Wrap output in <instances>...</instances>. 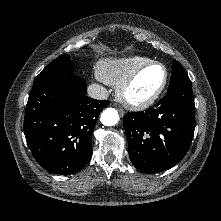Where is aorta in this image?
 <instances>
[{
  "label": "aorta",
  "mask_w": 221,
  "mask_h": 221,
  "mask_svg": "<svg viewBox=\"0 0 221 221\" xmlns=\"http://www.w3.org/2000/svg\"><path fill=\"white\" fill-rule=\"evenodd\" d=\"M100 121L105 126H114L119 121L118 111L114 108L105 109L101 114Z\"/></svg>",
  "instance_id": "762f6f07"
}]
</instances>
